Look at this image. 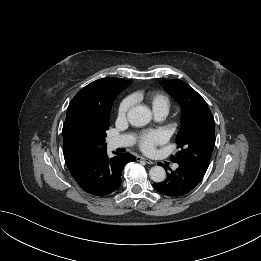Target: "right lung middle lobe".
I'll return each instance as SVG.
<instances>
[{
	"mask_svg": "<svg viewBox=\"0 0 261 261\" xmlns=\"http://www.w3.org/2000/svg\"><path fill=\"white\" fill-rule=\"evenodd\" d=\"M127 86L119 90L113 101L111 102L109 108L86 122L85 124L79 126L76 130V140L77 143L87 151L90 152H100L106 150V131L109 129L110 123V110L116 96Z\"/></svg>",
	"mask_w": 261,
	"mask_h": 261,
	"instance_id": "dd1d6c3e",
	"label": "right lung middle lobe"
}]
</instances>
